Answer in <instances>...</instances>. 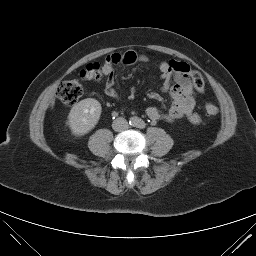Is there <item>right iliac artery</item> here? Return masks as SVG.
I'll return each instance as SVG.
<instances>
[{"label": "right iliac artery", "mask_w": 256, "mask_h": 256, "mask_svg": "<svg viewBox=\"0 0 256 256\" xmlns=\"http://www.w3.org/2000/svg\"><path fill=\"white\" fill-rule=\"evenodd\" d=\"M136 124H137L136 120H134V119L130 120V125H136Z\"/></svg>", "instance_id": "1"}]
</instances>
